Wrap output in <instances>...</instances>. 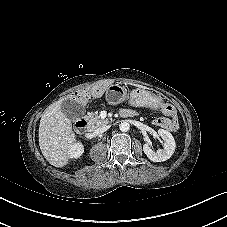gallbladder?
<instances>
[{
  "mask_svg": "<svg viewBox=\"0 0 227 227\" xmlns=\"http://www.w3.org/2000/svg\"><path fill=\"white\" fill-rule=\"evenodd\" d=\"M61 110L67 118L74 121L85 113V107L81 103H77L73 100H64L61 104Z\"/></svg>",
  "mask_w": 227,
  "mask_h": 227,
  "instance_id": "gallbladder-1",
  "label": "gallbladder"
}]
</instances>
